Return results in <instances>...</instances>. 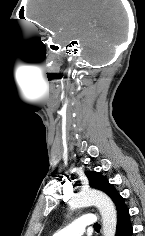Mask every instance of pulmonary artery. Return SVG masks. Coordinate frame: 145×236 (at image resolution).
Segmentation results:
<instances>
[{
	"label": "pulmonary artery",
	"mask_w": 145,
	"mask_h": 236,
	"mask_svg": "<svg viewBox=\"0 0 145 236\" xmlns=\"http://www.w3.org/2000/svg\"><path fill=\"white\" fill-rule=\"evenodd\" d=\"M96 223V217L93 214H84L69 225L63 227L54 233V236H82L85 228Z\"/></svg>",
	"instance_id": "obj_1"
}]
</instances>
